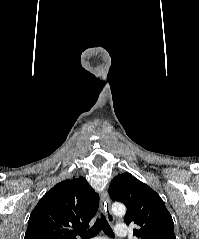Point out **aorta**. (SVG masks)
Returning <instances> with one entry per match:
<instances>
[{
    "label": "aorta",
    "mask_w": 199,
    "mask_h": 239,
    "mask_svg": "<svg viewBox=\"0 0 199 239\" xmlns=\"http://www.w3.org/2000/svg\"><path fill=\"white\" fill-rule=\"evenodd\" d=\"M112 211L115 215L122 216L126 213V207L122 203H114L112 205Z\"/></svg>",
    "instance_id": "obj_1"
}]
</instances>
